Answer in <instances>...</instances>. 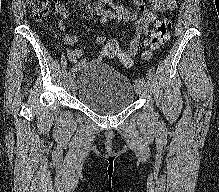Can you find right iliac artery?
Segmentation results:
<instances>
[{
	"instance_id": "obj_1",
	"label": "right iliac artery",
	"mask_w": 219,
	"mask_h": 192,
	"mask_svg": "<svg viewBox=\"0 0 219 192\" xmlns=\"http://www.w3.org/2000/svg\"><path fill=\"white\" fill-rule=\"evenodd\" d=\"M73 71H74V69H73V68H71V69H70V74H71V73H73Z\"/></svg>"
}]
</instances>
